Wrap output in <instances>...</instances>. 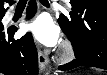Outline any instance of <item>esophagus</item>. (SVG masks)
I'll return each mask as SVG.
<instances>
[{
	"mask_svg": "<svg viewBox=\"0 0 107 75\" xmlns=\"http://www.w3.org/2000/svg\"><path fill=\"white\" fill-rule=\"evenodd\" d=\"M38 62L41 71H44L48 68L49 59L47 55L41 50H38Z\"/></svg>",
	"mask_w": 107,
	"mask_h": 75,
	"instance_id": "obj_1",
	"label": "esophagus"
}]
</instances>
